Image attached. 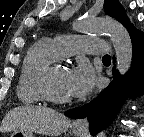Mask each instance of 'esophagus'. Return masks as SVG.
<instances>
[{
    "label": "esophagus",
    "mask_w": 144,
    "mask_h": 137,
    "mask_svg": "<svg viewBox=\"0 0 144 137\" xmlns=\"http://www.w3.org/2000/svg\"><path fill=\"white\" fill-rule=\"evenodd\" d=\"M73 127L82 131H87L89 127L88 120L86 118L77 119L73 122Z\"/></svg>",
    "instance_id": "34e87169"
}]
</instances>
